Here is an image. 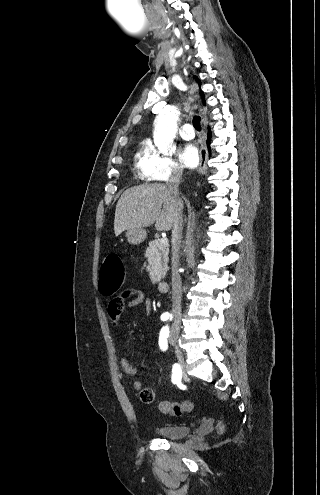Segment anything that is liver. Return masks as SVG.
<instances>
[{"instance_id": "6515ba94", "label": "liver", "mask_w": 320, "mask_h": 495, "mask_svg": "<svg viewBox=\"0 0 320 495\" xmlns=\"http://www.w3.org/2000/svg\"><path fill=\"white\" fill-rule=\"evenodd\" d=\"M182 208L181 200L175 198L165 185L145 184L127 189L116 205L115 235L154 223L156 230L169 231Z\"/></svg>"}]
</instances>
